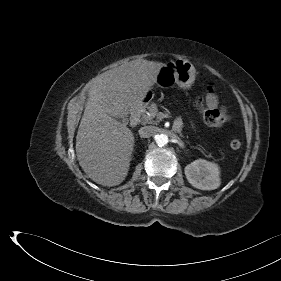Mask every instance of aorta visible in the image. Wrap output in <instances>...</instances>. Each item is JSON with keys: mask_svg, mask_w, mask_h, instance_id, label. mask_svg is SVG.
I'll return each instance as SVG.
<instances>
[{"mask_svg": "<svg viewBox=\"0 0 281 281\" xmlns=\"http://www.w3.org/2000/svg\"><path fill=\"white\" fill-rule=\"evenodd\" d=\"M155 141H156V144L159 146V147H162L164 145H166L168 143V136L165 135V134H158L155 136Z\"/></svg>", "mask_w": 281, "mask_h": 281, "instance_id": "obj_1", "label": "aorta"}]
</instances>
